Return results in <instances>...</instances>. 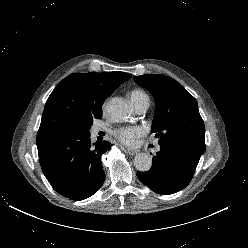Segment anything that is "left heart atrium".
<instances>
[{"instance_id": "39dd6f15", "label": "left heart atrium", "mask_w": 248, "mask_h": 248, "mask_svg": "<svg viewBox=\"0 0 248 248\" xmlns=\"http://www.w3.org/2000/svg\"><path fill=\"white\" fill-rule=\"evenodd\" d=\"M146 130L142 126H124L114 131V136L123 144L135 145L139 138L145 134Z\"/></svg>"}]
</instances>
